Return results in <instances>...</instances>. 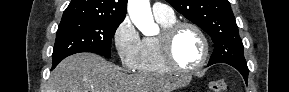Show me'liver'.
Masks as SVG:
<instances>
[{
    "label": "liver",
    "instance_id": "liver-1",
    "mask_svg": "<svg viewBox=\"0 0 289 92\" xmlns=\"http://www.w3.org/2000/svg\"><path fill=\"white\" fill-rule=\"evenodd\" d=\"M186 79L152 74L128 75L94 53L67 57L52 71L46 92H172Z\"/></svg>",
    "mask_w": 289,
    "mask_h": 92
}]
</instances>
